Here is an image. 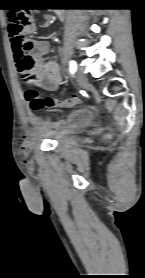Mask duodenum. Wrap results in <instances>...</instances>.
Wrapping results in <instances>:
<instances>
[{
    "label": "duodenum",
    "instance_id": "410a0bca",
    "mask_svg": "<svg viewBox=\"0 0 145 278\" xmlns=\"http://www.w3.org/2000/svg\"><path fill=\"white\" fill-rule=\"evenodd\" d=\"M56 17H57L58 20H63V18H64V11H62L60 9L57 10Z\"/></svg>",
    "mask_w": 145,
    "mask_h": 278
}]
</instances>
